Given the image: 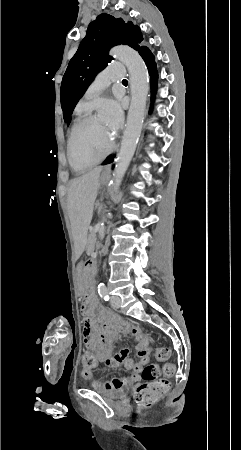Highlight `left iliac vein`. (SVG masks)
<instances>
[{
    "label": "left iliac vein",
    "mask_w": 241,
    "mask_h": 450,
    "mask_svg": "<svg viewBox=\"0 0 241 450\" xmlns=\"http://www.w3.org/2000/svg\"><path fill=\"white\" fill-rule=\"evenodd\" d=\"M110 303H111L112 307L119 308L121 305V299L118 296H113L110 299Z\"/></svg>",
    "instance_id": "left-iliac-vein-1"
}]
</instances>
